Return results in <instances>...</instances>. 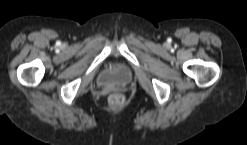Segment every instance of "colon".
I'll return each mask as SVG.
<instances>
[{
	"label": "colon",
	"instance_id": "colon-1",
	"mask_svg": "<svg viewBox=\"0 0 247 145\" xmlns=\"http://www.w3.org/2000/svg\"><path fill=\"white\" fill-rule=\"evenodd\" d=\"M122 102V98L118 95H114L112 98H111V103L114 104V105H119L121 104Z\"/></svg>",
	"mask_w": 247,
	"mask_h": 145
}]
</instances>
